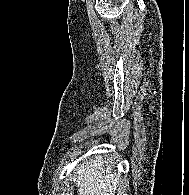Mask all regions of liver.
<instances>
[{
    "label": "liver",
    "mask_w": 189,
    "mask_h": 195,
    "mask_svg": "<svg viewBox=\"0 0 189 195\" xmlns=\"http://www.w3.org/2000/svg\"><path fill=\"white\" fill-rule=\"evenodd\" d=\"M102 163L101 157H95L76 169L74 181L79 195H113L120 180Z\"/></svg>",
    "instance_id": "1"
}]
</instances>
